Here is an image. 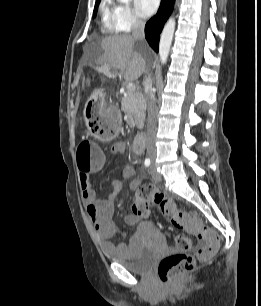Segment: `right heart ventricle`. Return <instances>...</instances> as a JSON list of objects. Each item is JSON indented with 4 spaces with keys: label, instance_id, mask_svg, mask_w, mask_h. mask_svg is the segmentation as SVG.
<instances>
[{
    "label": "right heart ventricle",
    "instance_id": "obj_1",
    "mask_svg": "<svg viewBox=\"0 0 261 306\" xmlns=\"http://www.w3.org/2000/svg\"><path fill=\"white\" fill-rule=\"evenodd\" d=\"M100 11L103 31L111 34L119 32L120 30L114 22L113 5L108 0H103Z\"/></svg>",
    "mask_w": 261,
    "mask_h": 306
}]
</instances>
